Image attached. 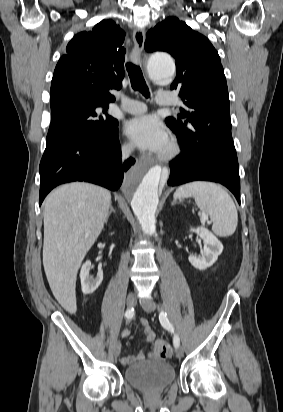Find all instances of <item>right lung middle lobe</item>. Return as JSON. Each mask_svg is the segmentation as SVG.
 <instances>
[{"instance_id": "1", "label": "right lung middle lobe", "mask_w": 283, "mask_h": 412, "mask_svg": "<svg viewBox=\"0 0 283 412\" xmlns=\"http://www.w3.org/2000/svg\"><path fill=\"white\" fill-rule=\"evenodd\" d=\"M108 106L94 103H78L60 115H51L46 143L61 136L90 133L101 136L118 125V121L106 113Z\"/></svg>"}]
</instances>
